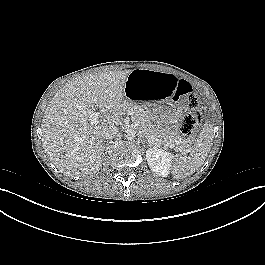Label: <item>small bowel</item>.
<instances>
[{"label": "small bowel", "instance_id": "small-bowel-1", "mask_svg": "<svg viewBox=\"0 0 265 265\" xmlns=\"http://www.w3.org/2000/svg\"><path fill=\"white\" fill-rule=\"evenodd\" d=\"M183 109H184L183 104H180V105H179V108L176 110L175 114H176V115H179L180 112H181V110H183Z\"/></svg>", "mask_w": 265, "mask_h": 265}]
</instances>
